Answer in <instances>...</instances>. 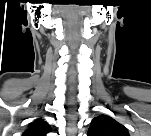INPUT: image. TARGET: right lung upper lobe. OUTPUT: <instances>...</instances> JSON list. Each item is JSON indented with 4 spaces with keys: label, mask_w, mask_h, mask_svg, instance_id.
Here are the masks:
<instances>
[{
    "label": "right lung upper lobe",
    "mask_w": 151,
    "mask_h": 136,
    "mask_svg": "<svg viewBox=\"0 0 151 136\" xmlns=\"http://www.w3.org/2000/svg\"><path fill=\"white\" fill-rule=\"evenodd\" d=\"M50 131V125L39 118L29 124L28 129L24 132V136H46Z\"/></svg>",
    "instance_id": "cb5924a9"
}]
</instances>
